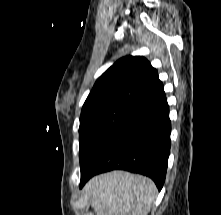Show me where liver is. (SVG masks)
<instances>
[{
  "instance_id": "6515ba94",
  "label": "liver",
  "mask_w": 221,
  "mask_h": 215,
  "mask_svg": "<svg viewBox=\"0 0 221 215\" xmlns=\"http://www.w3.org/2000/svg\"><path fill=\"white\" fill-rule=\"evenodd\" d=\"M84 190L96 215H148L158 194L151 179L125 171L95 176Z\"/></svg>"
}]
</instances>
